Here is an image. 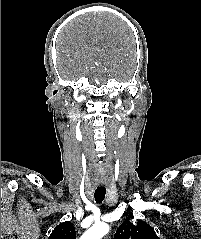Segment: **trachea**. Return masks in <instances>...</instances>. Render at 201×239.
<instances>
[{
  "mask_svg": "<svg viewBox=\"0 0 201 239\" xmlns=\"http://www.w3.org/2000/svg\"><path fill=\"white\" fill-rule=\"evenodd\" d=\"M106 194L105 187H97L94 193L96 203L100 204L103 202Z\"/></svg>",
  "mask_w": 201,
  "mask_h": 239,
  "instance_id": "obj_1",
  "label": "trachea"
}]
</instances>
